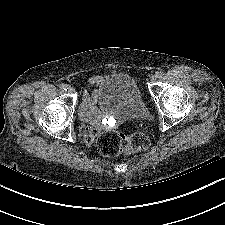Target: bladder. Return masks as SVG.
Masks as SVG:
<instances>
[{"instance_id": "bladder-1", "label": "bladder", "mask_w": 225, "mask_h": 225, "mask_svg": "<svg viewBox=\"0 0 225 225\" xmlns=\"http://www.w3.org/2000/svg\"><path fill=\"white\" fill-rule=\"evenodd\" d=\"M96 98L100 109L107 114L124 119H139L149 114L135 79L127 73L105 75L98 84Z\"/></svg>"}]
</instances>
